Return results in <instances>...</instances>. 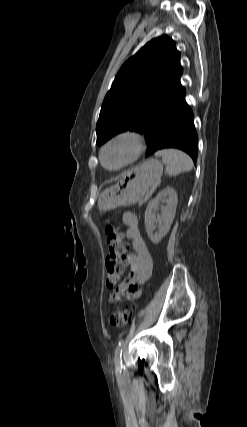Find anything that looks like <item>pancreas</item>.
Listing matches in <instances>:
<instances>
[{
	"mask_svg": "<svg viewBox=\"0 0 247 427\" xmlns=\"http://www.w3.org/2000/svg\"><path fill=\"white\" fill-rule=\"evenodd\" d=\"M154 187H155V185H153L152 188H154ZM151 193H152V189L145 194L144 198L139 202V204L146 202L148 200V198L150 197Z\"/></svg>",
	"mask_w": 247,
	"mask_h": 427,
	"instance_id": "obj_1",
	"label": "pancreas"
}]
</instances>
